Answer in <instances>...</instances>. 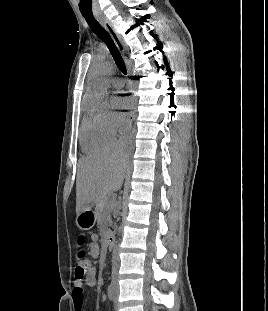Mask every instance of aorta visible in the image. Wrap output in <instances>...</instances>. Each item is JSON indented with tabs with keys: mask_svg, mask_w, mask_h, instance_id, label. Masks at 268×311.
I'll return each instance as SVG.
<instances>
[{
	"mask_svg": "<svg viewBox=\"0 0 268 311\" xmlns=\"http://www.w3.org/2000/svg\"><path fill=\"white\" fill-rule=\"evenodd\" d=\"M113 70V64L109 61H104V62H99L96 67L95 71L97 74V79L95 80L94 83V90L98 94H104L107 92L108 89V83L106 80V76L112 72Z\"/></svg>",
	"mask_w": 268,
	"mask_h": 311,
	"instance_id": "aorta-1",
	"label": "aorta"
}]
</instances>
